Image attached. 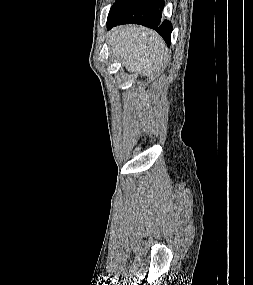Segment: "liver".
<instances>
[{
	"instance_id": "6515ba94",
	"label": "liver",
	"mask_w": 253,
	"mask_h": 285,
	"mask_svg": "<svg viewBox=\"0 0 253 285\" xmlns=\"http://www.w3.org/2000/svg\"><path fill=\"white\" fill-rule=\"evenodd\" d=\"M112 48L126 69L135 74L149 75L161 66L165 58V44L153 30L125 25L110 32Z\"/></svg>"
}]
</instances>
